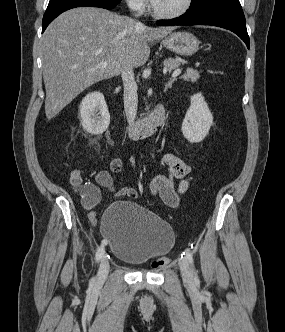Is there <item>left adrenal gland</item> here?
Segmentation results:
<instances>
[{"label": "left adrenal gland", "instance_id": "obj_1", "mask_svg": "<svg viewBox=\"0 0 285 332\" xmlns=\"http://www.w3.org/2000/svg\"><path fill=\"white\" fill-rule=\"evenodd\" d=\"M174 81H176V78H170L168 80V82L166 83V86H165V91L168 89V88H171L172 87V84L174 83Z\"/></svg>", "mask_w": 285, "mask_h": 332}]
</instances>
